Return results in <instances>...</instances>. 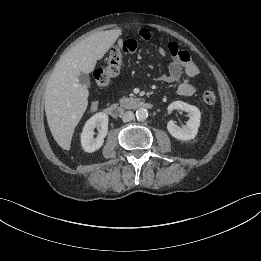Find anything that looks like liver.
I'll use <instances>...</instances> for the list:
<instances>
[{"instance_id": "1", "label": "liver", "mask_w": 261, "mask_h": 261, "mask_svg": "<svg viewBox=\"0 0 261 261\" xmlns=\"http://www.w3.org/2000/svg\"><path fill=\"white\" fill-rule=\"evenodd\" d=\"M120 35L121 29L98 32L75 45L57 62L44 97L48 126L61 148H70L74 129L88 105L89 91L78 77L92 72L97 60L103 58Z\"/></svg>"}]
</instances>
